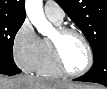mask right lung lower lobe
Segmentation results:
<instances>
[{"mask_svg":"<svg viewBox=\"0 0 107 89\" xmlns=\"http://www.w3.org/2000/svg\"><path fill=\"white\" fill-rule=\"evenodd\" d=\"M0 73L11 76V75H15L17 73H20V70L18 68L9 69L7 67H0Z\"/></svg>","mask_w":107,"mask_h":89,"instance_id":"right-lung-lower-lobe-1","label":"right lung lower lobe"}]
</instances>
